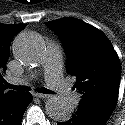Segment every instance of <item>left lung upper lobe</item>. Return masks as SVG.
I'll use <instances>...</instances> for the list:
<instances>
[{
	"mask_svg": "<svg viewBox=\"0 0 125 125\" xmlns=\"http://www.w3.org/2000/svg\"><path fill=\"white\" fill-rule=\"evenodd\" d=\"M62 39L67 72L76 77L73 89L81 92L79 106L112 114L118 99L121 65L105 34L75 18L47 22Z\"/></svg>",
	"mask_w": 125,
	"mask_h": 125,
	"instance_id": "obj_1",
	"label": "left lung upper lobe"
}]
</instances>
